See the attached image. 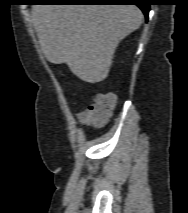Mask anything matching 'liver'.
Wrapping results in <instances>:
<instances>
[{
	"instance_id": "liver-1",
	"label": "liver",
	"mask_w": 188,
	"mask_h": 213,
	"mask_svg": "<svg viewBox=\"0 0 188 213\" xmlns=\"http://www.w3.org/2000/svg\"><path fill=\"white\" fill-rule=\"evenodd\" d=\"M32 18L46 59L97 83L107 78L118 44L140 27L143 14L135 5H34Z\"/></svg>"
}]
</instances>
